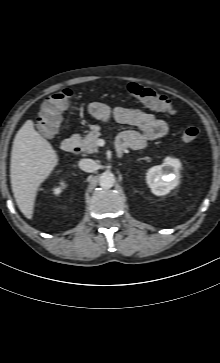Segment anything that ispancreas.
<instances>
[{"instance_id": "pancreas-1", "label": "pancreas", "mask_w": 220, "mask_h": 363, "mask_svg": "<svg viewBox=\"0 0 220 363\" xmlns=\"http://www.w3.org/2000/svg\"><path fill=\"white\" fill-rule=\"evenodd\" d=\"M101 136L98 128H94L80 141L81 149L86 153L98 152V138Z\"/></svg>"}]
</instances>
